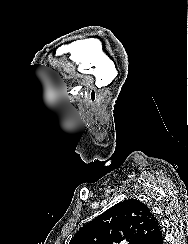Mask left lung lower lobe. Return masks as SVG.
Segmentation results:
<instances>
[{"label":"left lung lower lobe","mask_w":188,"mask_h":244,"mask_svg":"<svg viewBox=\"0 0 188 244\" xmlns=\"http://www.w3.org/2000/svg\"><path fill=\"white\" fill-rule=\"evenodd\" d=\"M148 244H164L160 225H158V227L156 228Z\"/></svg>","instance_id":"obj_1"}]
</instances>
